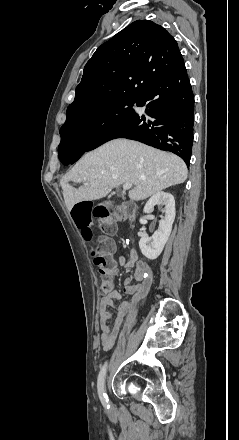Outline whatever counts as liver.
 Segmentation results:
<instances>
[{
    "label": "liver",
    "mask_w": 239,
    "mask_h": 440,
    "mask_svg": "<svg viewBox=\"0 0 239 440\" xmlns=\"http://www.w3.org/2000/svg\"><path fill=\"white\" fill-rule=\"evenodd\" d=\"M187 174V166L178 156L120 138L85 154L60 184L70 212L78 202L105 198L121 184L135 186L128 194L130 200H146L169 186L183 184ZM68 182H85L87 186L76 190Z\"/></svg>",
    "instance_id": "liver-1"
}]
</instances>
